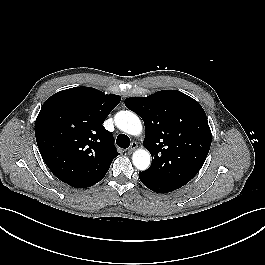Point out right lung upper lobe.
<instances>
[{"label":"right lung upper lobe","mask_w":265,"mask_h":265,"mask_svg":"<svg viewBox=\"0 0 265 265\" xmlns=\"http://www.w3.org/2000/svg\"><path fill=\"white\" fill-rule=\"evenodd\" d=\"M120 100L119 95L74 87L45 101L35 136L42 158L59 180L76 187L105 176L119 153L103 123Z\"/></svg>","instance_id":"1"}]
</instances>
